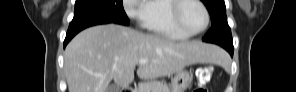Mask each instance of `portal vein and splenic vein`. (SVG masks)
Masks as SVG:
<instances>
[{
	"label": "portal vein and splenic vein",
	"instance_id": "1",
	"mask_svg": "<svg viewBox=\"0 0 296 92\" xmlns=\"http://www.w3.org/2000/svg\"><path fill=\"white\" fill-rule=\"evenodd\" d=\"M147 62H148L147 59H140V60H138V63L139 64H146Z\"/></svg>",
	"mask_w": 296,
	"mask_h": 92
}]
</instances>
